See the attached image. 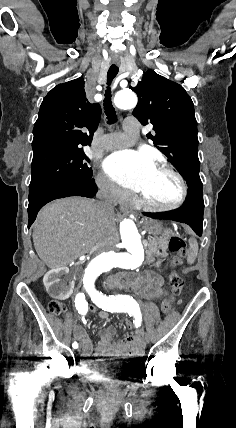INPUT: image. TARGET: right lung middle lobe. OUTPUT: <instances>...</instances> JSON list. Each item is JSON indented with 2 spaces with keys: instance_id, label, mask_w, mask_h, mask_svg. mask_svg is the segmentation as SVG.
<instances>
[{
  "instance_id": "obj_1",
  "label": "right lung middle lobe",
  "mask_w": 236,
  "mask_h": 428,
  "mask_svg": "<svg viewBox=\"0 0 236 428\" xmlns=\"http://www.w3.org/2000/svg\"><path fill=\"white\" fill-rule=\"evenodd\" d=\"M83 145L44 146L33 149L29 188L59 180H90L92 169Z\"/></svg>"
}]
</instances>
